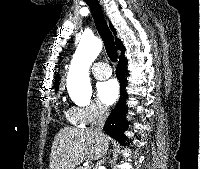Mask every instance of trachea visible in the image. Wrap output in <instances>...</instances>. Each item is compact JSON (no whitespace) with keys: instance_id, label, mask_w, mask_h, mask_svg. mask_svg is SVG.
<instances>
[{"instance_id":"trachea-1","label":"trachea","mask_w":200,"mask_h":169,"mask_svg":"<svg viewBox=\"0 0 200 169\" xmlns=\"http://www.w3.org/2000/svg\"><path fill=\"white\" fill-rule=\"evenodd\" d=\"M90 7L96 28L104 42L106 53L112 62H117L118 54L114 37L107 25L98 0H84Z\"/></svg>"}]
</instances>
